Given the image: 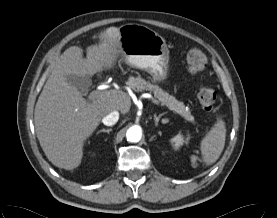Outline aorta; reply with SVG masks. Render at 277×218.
Wrapping results in <instances>:
<instances>
[{
    "label": "aorta",
    "instance_id": "obj_1",
    "mask_svg": "<svg viewBox=\"0 0 277 218\" xmlns=\"http://www.w3.org/2000/svg\"><path fill=\"white\" fill-rule=\"evenodd\" d=\"M126 137L129 142L137 143L141 140L142 129L138 125L130 127L126 132Z\"/></svg>",
    "mask_w": 277,
    "mask_h": 218
}]
</instances>
